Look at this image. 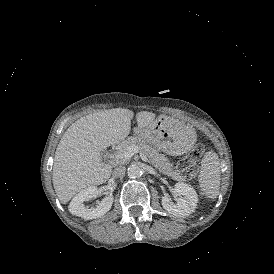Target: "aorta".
I'll return each mask as SVG.
<instances>
[{
  "label": "aorta",
  "instance_id": "obj_1",
  "mask_svg": "<svg viewBox=\"0 0 274 274\" xmlns=\"http://www.w3.org/2000/svg\"><path fill=\"white\" fill-rule=\"evenodd\" d=\"M141 175H142V169L140 168L138 164L134 163L128 167V176L130 178H137Z\"/></svg>",
  "mask_w": 274,
  "mask_h": 274
}]
</instances>
